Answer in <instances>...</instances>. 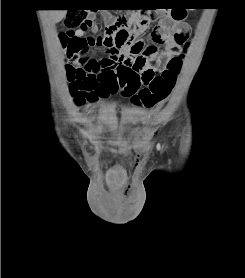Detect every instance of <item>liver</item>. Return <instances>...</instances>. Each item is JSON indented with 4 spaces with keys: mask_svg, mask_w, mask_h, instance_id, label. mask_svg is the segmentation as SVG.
Masks as SVG:
<instances>
[{
    "mask_svg": "<svg viewBox=\"0 0 245 278\" xmlns=\"http://www.w3.org/2000/svg\"><path fill=\"white\" fill-rule=\"evenodd\" d=\"M49 12L52 22L58 23L66 16L67 10H50Z\"/></svg>",
    "mask_w": 245,
    "mask_h": 278,
    "instance_id": "obj_1",
    "label": "liver"
}]
</instances>
